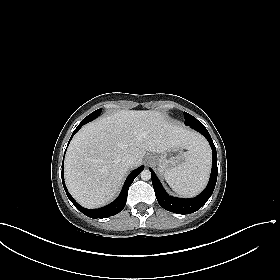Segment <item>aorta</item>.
<instances>
[{"label":"aorta","instance_id":"1","mask_svg":"<svg viewBox=\"0 0 280 280\" xmlns=\"http://www.w3.org/2000/svg\"><path fill=\"white\" fill-rule=\"evenodd\" d=\"M140 175H141V179L145 180V181H147L151 178V172L147 169L143 170Z\"/></svg>","mask_w":280,"mask_h":280}]
</instances>
